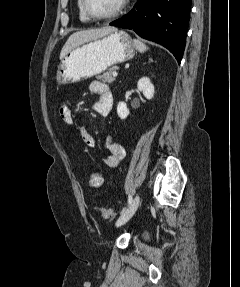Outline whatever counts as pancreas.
<instances>
[{
    "instance_id": "cf45deb5",
    "label": "pancreas",
    "mask_w": 240,
    "mask_h": 287,
    "mask_svg": "<svg viewBox=\"0 0 240 287\" xmlns=\"http://www.w3.org/2000/svg\"><path fill=\"white\" fill-rule=\"evenodd\" d=\"M118 69L117 66H113L110 69H108L105 73H103L99 78L107 83H113L115 81V76H113V73Z\"/></svg>"
}]
</instances>
